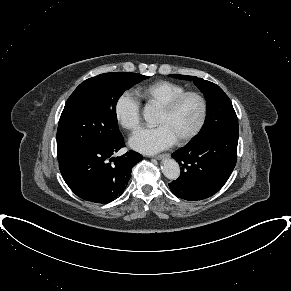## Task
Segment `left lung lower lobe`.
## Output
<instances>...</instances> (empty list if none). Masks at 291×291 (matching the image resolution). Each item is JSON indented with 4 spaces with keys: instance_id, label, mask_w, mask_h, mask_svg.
I'll use <instances>...</instances> for the list:
<instances>
[{
    "instance_id": "obj_1",
    "label": "left lung lower lobe",
    "mask_w": 291,
    "mask_h": 291,
    "mask_svg": "<svg viewBox=\"0 0 291 291\" xmlns=\"http://www.w3.org/2000/svg\"><path fill=\"white\" fill-rule=\"evenodd\" d=\"M238 132L223 131L189 142L172 154L181 166L178 179L169 183L178 198L202 200L226 183L237 160Z\"/></svg>"
}]
</instances>
